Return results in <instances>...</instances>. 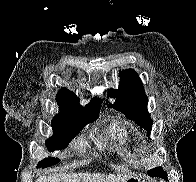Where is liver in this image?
Returning <instances> with one entry per match:
<instances>
[{"mask_svg": "<svg viewBox=\"0 0 196 182\" xmlns=\"http://www.w3.org/2000/svg\"><path fill=\"white\" fill-rule=\"evenodd\" d=\"M130 176L100 173H56L37 179L35 182H126Z\"/></svg>", "mask_w": 196, "mask_h": 182, "instance_id": "1", "label": "liver"}]
</instances>
